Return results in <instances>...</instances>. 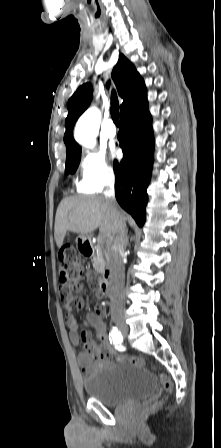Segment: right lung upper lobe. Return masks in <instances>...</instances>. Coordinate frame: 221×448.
<instances>
[{"label": "right lung upper lobe", "mask_w": 221, "mask_h": 448, "mask_svg": "<svg viewBox=\"0 0 221 448\" xmlns=\"http://www.w3.org/2000/svg\"><path fill=\"white\" fill-rule=\"evenodd\" d=\"M112 78L119 96L123 99L120 114L146 97L147 91L143 79L133 64L122 54L112 71ZM91 100L92 85L86 83L80 86L68 101V116L65 121L66 132L64 135L67 157L81 152V147L73 138V126L78 117L90 105Z\"/></svg>", "instance_id": "cb5924a9"}]
</instances>
